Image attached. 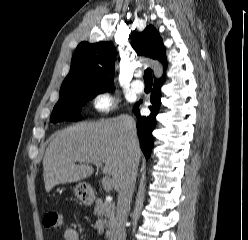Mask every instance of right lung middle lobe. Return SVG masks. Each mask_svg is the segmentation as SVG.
<instances>
[{"label": "right lung middle lobe", "mask_w": 248, "mask_h": 240, "mask_svg": "<svg viewBox=\"0 0 248 240\" xmlns=\"http://www.w3.org/2000/svg\"><path fill=\"white\" fill-rule=\"evenodd\" d=\"M110 91L95 88H70L60 92L59 101L55 105L50 122L80 120L81 108L96 95Z\"/></svg>", "instance_id": "right-lung-middle-lobe-1"}]
</instances>
